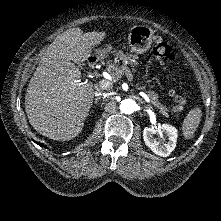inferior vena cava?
<instances>
[{
  "mask_svg": "<svg viewBox=\"0 0 221 221\" xmlns=\"http://www.w3.org/2000/svg\"><path fill=\"white\" fill-rule=\"evenodd\" d=\"M95 95H96V96H101V95L106 96V94L101 93V92H99V93H98V92H96V93H95Z\"/></svg>",
  "mask_w": 221,
  "mask_h": 221,
  "instance_id": "1",
  "label": "inferior vena cava"
}]
</instances>
